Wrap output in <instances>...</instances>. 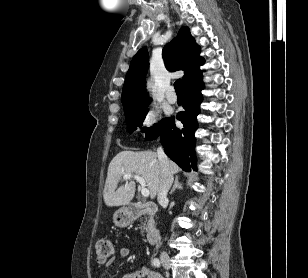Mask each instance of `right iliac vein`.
I'll return each instance as SVG.
<instances>
[{
    "mask_svg": "<svg viewBox=\"0 0 308 278\" xmlns=\"http://www.w3.org/2000/svg\"><path fill=\"white\" fill-rule=\"evenodd\" d=\"M161 262L166 269H169L171 266L170 257L167 253L162 252L160 256Z\"/></svg>",
    "mask_w": 308,
    "mask_h": 278,
    "instance_id": "63e3f726",
    "label": "right iliac vein"
}]
</instances>
